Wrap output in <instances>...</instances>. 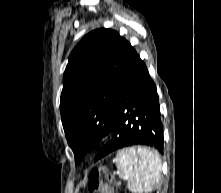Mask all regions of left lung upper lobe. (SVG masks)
<instances>
[{"instance_id": "5c2ea615", "label": "left lung upper lobe", "mask_w": 221, "mask_h": 193, "mask_svg": "<svg viewBox=\"0 0 221 193\" xmlns=\"http://www.w3.org/2000/svg\"><path fill=\"white\" fill-rule=\"evenodd\" d=\"M136 55L131 44L110 29L88 33L71 52L60 109L76 163L111 132L119 88Z\"/></svg>"}]
</instances>
